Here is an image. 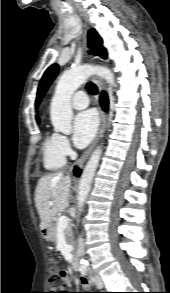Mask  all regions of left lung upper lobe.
I'll list each match as a JSON object with an SVG mask.
<instances>
[{
    "label": "left lung upper lobe",
    "mask_w": 170,
    "mask_h": 293,
    "mask_svg": "<svg viewBox=\"0 0 170 293\" xmlns=\"http://www.w3.org/2000/svg\"><path fill=\"white\" fill-rule=\"evenodd\" d=\"M89 47L92 49L90 53L100 55L102 58H106V49L102 46V39L94 29H91L88 34ZM59 66L57 64L51 65L44 73L37 92L36 105L40 102L42 96L48 89L51 82L58 74Z\"/></svg>",
    "instance_id": "left-lung-upper-lobe-1"
}]
</instances>
